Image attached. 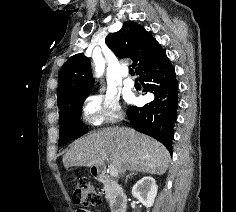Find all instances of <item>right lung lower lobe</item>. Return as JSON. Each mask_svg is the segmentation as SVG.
Returning a JSON list of instances; mask_svg holds the SVG:
<instances>
[{
  "mask_svg": "<svg viewBox=\"0 0 236 212\" xmlns=\"http://www.w3.org/2000/svg\"><path fill=\"white\" fill-rule=\"evenodd\" d=\"M144 92L154 100L143 107H130L126 114L135 130L160 141L170 153L173 127L177 119L178 84L175 70L159 45L138 73Z\"/></svg>",
  "mask_w": 236,
  "mask_h": 212,
  "instance_id": "1",
  "label": "right lung lower lobe"
}]
</instances>
